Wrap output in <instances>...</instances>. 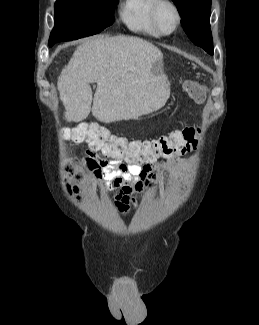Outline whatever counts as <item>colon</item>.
I'll use <instances>...</instances> for the list:
<instances>
[{
    "mask_svg": "<svg viewBox=\"0 0 259 325\" xmlns=\"http://www.w3.org/2000/svg\"><path fill=\"white\" fill-rule=\"evenodd\" d=\"M184 91L198 103L206 100V88L200 83L187 80ZM201 129L199 126L196 128ZM65 139H76L87 142L94 151H101L111 159L126 160L130 163H140L153 159L174 149H196L201 136L196 135L194 128H185L152 140H128L112 135L106 128L97 124H81L65 130Z\"/></svg>",
    "mask_w": 259,
    "mask_h": 325,
    "instance_id": "colon-1",
    "label": "colon"
}]
</instances>
